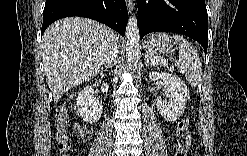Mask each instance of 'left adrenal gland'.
Masks as SVG:
<instances>
[{
    "instance_id": "left-adrenal-gland-1",
    "label": "left adrenal gland",
    "mask_w": 247,
    "mask_h": 156,
    "mask_svg": "<svg viewBox=\"0 0 247 156\" xmlns=\"http://www.w3.org/2000/svg\"><path fill=\"white\" fill-rule=\"evenodd\" d=\"M153 65L152 63L149 62V57L145 55V66Z\"/></svg>"
}]
</instances>
